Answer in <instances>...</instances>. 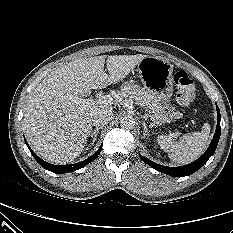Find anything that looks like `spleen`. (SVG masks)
<instances>
[{
	"mask_svg": "<svg viewBox=\"0 0 233 233\" xmlns=\"http://www.w3.org/2000/svg\"><path fill=\"white\" fill-rule=\"evenodd\" d=\"M210 130L209 123H205L201 132L187 133L178 141L171 136L161 135L157 138V142L173 162L184 164L203 153L209 142Z\"/></svg>",
	"mask_w": 233,
	"mask_h": 233,
	"instance_id": "1",
	"label": "spleen"
}]
</instances>
